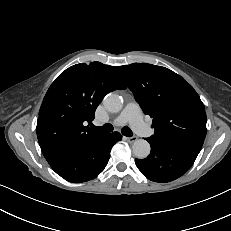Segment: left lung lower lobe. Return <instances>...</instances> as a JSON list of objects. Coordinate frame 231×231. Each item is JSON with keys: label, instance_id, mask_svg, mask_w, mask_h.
I'll return each instance as SVG.
<instances>
[{"label": "left lung lower lobe", "instance_id": "obj_1", "mask_svg": "<svg viewBox=\"0 0 231 231\" xmlns=\"http://www.w3.org/2000/svg\"><path fill=\"white\" fill-rule=\"evenodd\" d=\"M146 140L151 145V154L143 160L135 159V164L154 182H170L185 174L201 150V147L184 142Z\"/></svg>", "mask_w": 231, "mask_h": 231}]
</instances>
